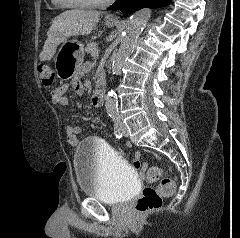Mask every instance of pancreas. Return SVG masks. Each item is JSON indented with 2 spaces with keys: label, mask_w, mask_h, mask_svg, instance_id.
Returning <instances> with one entry per match:
<instances>
[{
  "label": "pancreas",
  "mask_w": 240,
  "mask_h": 238,
  "mask_svg": "<svg viewBox=\"0 0 240 238\" xmlns=\"http://www.w3.org/2000/svg\"><path fill=\"white\" fill-rule=\"evenodd\" d=\"M85 51L86 53L92 55L93 51H98L97 44L95 42L88 43L85 47Z\"/></svg>",
  "instance_id": "cf45deb5"
}]
</instances>
